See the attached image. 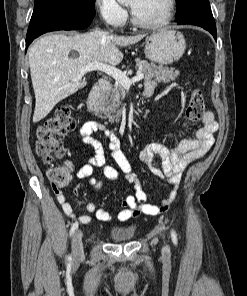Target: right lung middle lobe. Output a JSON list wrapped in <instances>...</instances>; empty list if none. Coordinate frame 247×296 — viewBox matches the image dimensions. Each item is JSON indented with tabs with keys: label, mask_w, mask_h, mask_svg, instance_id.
<instances>
[{
	"label": "right lung middle lobe",
	"mask_w": 247,
	"mask_h": 296,
	"mask_svg": "<svg viewBox=\"0 0 247 296\" xmlns=\"http://www.w3.org/2000/svg\"><path fill=\"white\" fill-rule=\"evenodd\" d=\"M95 0H35L31 19L39 17L57 7H62L70 15L95 13Z\"/></svg>",
	"instance_id": "right-lung-middle-lobe-1"
}]
</instances>
